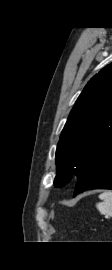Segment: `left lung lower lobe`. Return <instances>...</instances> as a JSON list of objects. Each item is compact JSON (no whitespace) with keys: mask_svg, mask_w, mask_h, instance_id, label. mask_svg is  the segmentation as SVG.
<instances>
[{"mask_svg":"<svg viewBox=\"0 0 112 270\" xmlns=\"http://www.w3.org/2000/svg\"><path fill=\"white\" fill-rule=\"evenodd\" d=\"M89 189L112 190V147L78 180L74 196Z\"/></svg>","mask_w":112,"mask_h":270,"instance_id":"0a47b994","label":"left lung lower lobe"}]
</instances>
